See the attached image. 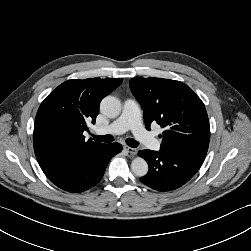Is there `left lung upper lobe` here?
<instances>
[{"mask_svg":"<svg viewBox=\"0 0 251 251\" xmlns=\"http://www.w3.org/2000/svg\"><path fill=\"white\" fill-rule=\"evenodd\" d=\"M129 84L144 111L146 128L152 123L164 128L161 150L205 158L210 140L208 115L186 84L162 78H134Z\"/></svg>","mask_w":251,"mask_h":251,"instance_id":"obj_1","label":"left lung upper lobe"}]
</instances>
